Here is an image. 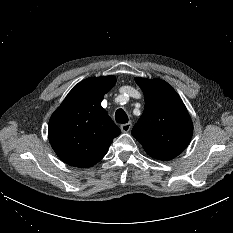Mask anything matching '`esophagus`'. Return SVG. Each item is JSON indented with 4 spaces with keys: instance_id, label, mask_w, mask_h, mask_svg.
Returning a JSON list of instances; mask_svg holds the SVG:
<instances>
[{
    "instance_id": "obj_1",
    "label": "esophagus",
    "mask_w": 233,
    "mask_h": 233,
    "mask_svg": "<svg viewBox=\"0 0 233 233\" xmlns=\"http://www.w3.org/2000/svg\"><path fill=\"white\" fill-rule=\"evenodd\" d=\"M131 126H132L131 122H128V123L122 124L120 128L122 132L126 133L130 131Z\"/></svg>"
}]
</instances>
